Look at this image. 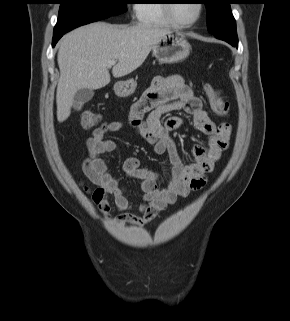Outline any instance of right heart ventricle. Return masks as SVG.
Listing matches in <instances>:
<instances>
[{
  "label": "right heart ventricle",
  "instance_id": "e07e8e85",
  "mask_svg": "<svg viewBox=\"0 0 290 321\" xmlns=\"http://www.w3.org/2000/svg\"><path fill=\"white\" fill-rule=\"evenodd\" d=\"M165 0H139L134 6L137 23L148 26H171L164 10Z\"/></svg>",
  "mask_w": 290,
  "mask_h": 321
}]
</instances>
